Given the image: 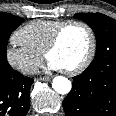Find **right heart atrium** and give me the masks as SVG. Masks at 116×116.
Returning <instances> with one entry per match:
<instances>
[{"label": "right heart atrium", "instance_id": "d8ad5b80", "mask_svg": "<svg viewBox=\"0 0 116 116\" xmlns=\"http://www.w3.org/2000/svg\"><path fill=\"white\" fill-rule=\"evenodd\" d=\"M5 60L17 72L31 75L36 72L42 57L22 43L15 34L5 49Z\"/></svg>", "mask_w": 116, "mask_h": 116}]
</instances>
